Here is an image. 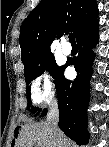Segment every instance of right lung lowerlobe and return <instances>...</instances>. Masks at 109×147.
I'll return each instance as SVG.
<instances>
[{
  "label": "right lung lower lobe",
  "mask_w": 109,
  "mask_h": 147,
  "mask_svg": "<svg viewBox=\"0 0 109 147\" xmlns=\"http://www.w3.org/2000/svg\"><path fill=\"white\" fill-rule=\"evenodd\" d=\"M79 54L68 64L62 66L56 79V92L59 107V127L77 144H87V106L90 98V77L92 75L91 63L95 57L89 49L98 42L97 17L76 37ZM74 65L77 71L76 79L66 80L63 72L68 65ZM47 114L43 109L41 117Z\"/></svg>",
  "instance_id": "1"
}]
</instances>
